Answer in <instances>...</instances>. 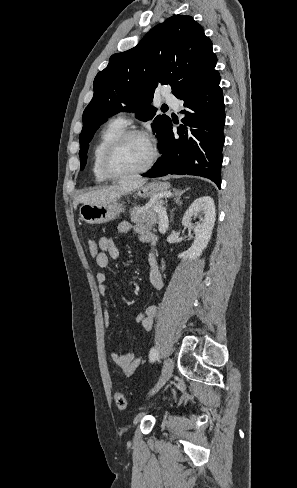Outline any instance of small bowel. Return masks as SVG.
<instances>
[{
    "instance_id": "obj_1",
    "label": "small bowel",
    "mask_w": 297,
    "mask_h": 488,
    "mask_svg": "<svg viewBox=\"0 0 297 488\" xmlns=\"http://www.w3.org/2000/svg\"><path fill=\"white\" fill-rule=\"evenodd\" d=\"M133 231L140 242L150 245L151 251L148 255V267H149V279L152 286L155 289H162L164 285V269L163 262L158 263L156 254L154 253V247L157 243V237L148 228L143 225H132L129 222H121L118 225V231L120 233H128ZM99 253L95 258L96 264L100 268L96 272V281L98 289L101 295L105 296L108 291L107 276L104 271L109 266L110 259L119 258V249L114 242L113 238L108 236H102L98 240ZM158 307L156 305H149L138 314L137 323L146 331H150L153 328L154 318L157 315ZM104 321L106 325L110 323L111 309L109 302H104ZM113 363L120 369L121 373L126 378H134L138 373L141 366V358L126 351L118 353L115 350L110 352Z\"/></svg>"
}]
</instances>
